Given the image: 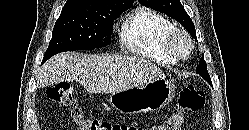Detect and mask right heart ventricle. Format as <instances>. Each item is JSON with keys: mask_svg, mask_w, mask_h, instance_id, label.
Wrapping results in <instances>:
<instances>
[{"mask_svg": "<svg viewBox=\"0 0 249 130\" xmlns=\"http://www.w3.org/2000/svg\"><path fill=\"white\" fill-rule=\"evenodd\" d=\"M174 28L165 16L148 8H138L125 18L119 30L120 44L129 52L162 65H174L164 50V39Z\"/></svg>", "mask_w": 249, "mask_h": 130, "instance_id": "right-heart-ventricle-1", "label": "right heart ventricle"}]
</instances>
